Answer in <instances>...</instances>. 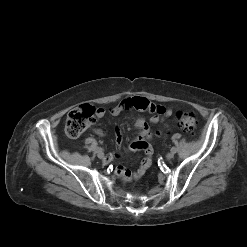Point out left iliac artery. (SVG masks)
I'll use <instances>...</instances> for the list:
<instances>
[{
    "label": "left iliac artery",
    "mask_w": 247,
    "mask_h": 247,
    "mask_svg": "<svg viewBox=\"0 0 247 247\" xmlns=\"http://www.w3.org/2000/svg\"><path fill=\"white\" fill-rule=\"evenodd\" d=\"M171 152L176 153L177 152V148L176 147H172L171 148Z\"/></svg>",
    "instance_id": "1"
}]
</instances>
